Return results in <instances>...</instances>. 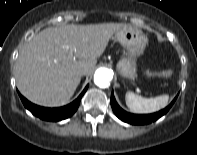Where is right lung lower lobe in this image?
<instances>
[{
	"instance_id": "obj_1",
	"label": "right lung lower lobe",
	"mask_w": 197,
	"mask_h": 155,
	"mask_svg": "<svg viewBox=\"0 0 197 155\" xmlns=\"http://www.w3.org/2000/svg\"><path fill=\"white\" fill-rule=\"evenodd\" d=\"M87 89H88V85L85 87L83 92L78 96L76 100H74L72 103L66 106L59 108H45V107L37 106L29 102L21 94H19V96L25 108H27L33 115L46 121H60L69 118L76 112V110L79 107L80 100Z\"/></svg>"
}]
</instances>
